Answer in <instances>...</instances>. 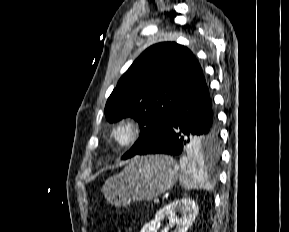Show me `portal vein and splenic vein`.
Wrapping results in <instances>:
<instances>
[{
  "instance_id": "obj_1",
  "label": "portal vein and splenic vein",
  "mask_w": 289,
  "mask_h": 232,
  "mask_svg": "<svg viewBox=\"0 0 289 232\" xmlns=\"http://www.w3.org/2000/svg\"><path fill=\"white\" fill-rule=\"evenodd\" d=\"M154 203H155V204L159 203V199H158V198H155V199H154Z\"/></svg>"
}]
</instances>
